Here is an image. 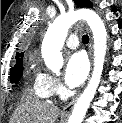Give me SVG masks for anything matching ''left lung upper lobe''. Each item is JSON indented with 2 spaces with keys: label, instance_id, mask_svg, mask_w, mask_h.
Here are the masks:
<instances>
[{
  "label": "left lung upper lobe",
  "instance_id": "5c2ea615",
  "mask_svg": "<svg viewBox=\"0 0 122 123\" xmlns=\"http://www.w3.org/2000/svg\"><path fill=\"white\" fill-rule=\"evenodd\" d=\"M75 4L79 7H91L92 3L89 0H74Z\"/></svg>",
  "mask_w": 122,
  "mask_h": 123
}]
</instances>
